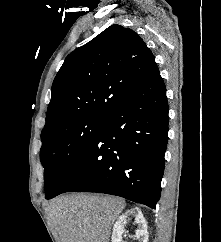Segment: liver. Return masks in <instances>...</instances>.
Listing matches in <instances>:
<instances>
[{
    "mask_svg": "<svg viewBox=\"0 0 221 242\" xmlns=\"http://www.w3.org/2000/svg\"><path fill=\"white\" fill-rule=\"evenodd\" d=\"M124 199L72 194L53 199L48 214L56 242H109Z\"/></svg>",
    "mask_w": 221,
    "mask_h": 242,
    "instance_id": "6515ba94",
    "label": "liver"
}]
</instances>
